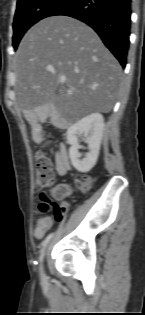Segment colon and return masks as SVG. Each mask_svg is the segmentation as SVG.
Masks as SVG:
<instances>
[{
    "label": "colon",
    "mask_w": 145,
    "mask_h": 315,
    "mask_svg": "<svg viewBox=\"0 0 145 315\" xmlns=\"http://www.w3.org/2000/svg\"><path fill=\"white\" fill-rule=\"evenodd\" d=\"M36 164V177H37V186L45 187L50 185L53 182L54 174L52 162L49 157L44 152H37L35 156ZM92 179L90 177H84L82 180L77 182V185L81 189H86L90 186ZM43 204L42 209H45L49 206H53L55 209V215L59 216L63 211L66 210L67 204L62 203L61 205H51L45 196L42 197Z\"/></svg>",
    "instance_id": "1"
}]
</instances>
